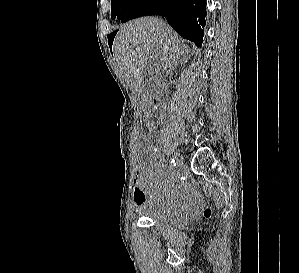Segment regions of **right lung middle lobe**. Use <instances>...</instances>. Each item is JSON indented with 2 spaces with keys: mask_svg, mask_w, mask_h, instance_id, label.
<instances>
[{
  "mask_svg": "<svg viewBox=\"0 0 299 273\" xmlns=\"http://www.w3.org/2000/svg\"><path fill=\"white\" fill-rule=\"evenodd\" d=\"M136 0H111V18L121 19Z\"/></svg>",
  "mask_w": 299,
  "mask_h": 273,
  "instance_id": "dd1d6c3e",
  "label": "right lung middle lobe"
}]
</instances>
